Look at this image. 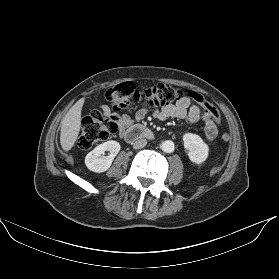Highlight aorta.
Instances as JSON below:
<instances>
[{"mask_svg": "<svg viewBox=\"0 0 279 279\" xmlns=\"http://www.w3.org/2000/svg\"><path fill=\"white\" fill-rule=\"evenodd\" d=\"M161 148L166 153H171L174 150V143L171 140H166L161 144Z\"/></svg>", "mask_w": 279, "mask_h": 279, "instance_id": "obj_1", "label": "aorta"}]
</instances>
